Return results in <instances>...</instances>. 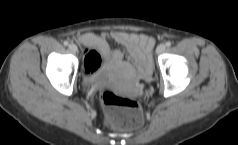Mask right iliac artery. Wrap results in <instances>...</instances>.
Returning <instances> with one entry per match:
<instances>
[{
  "label": "right iliac artery",
  "mask_w": 238,
  "mask_h": 145,
  "mask_svg": "<svg viewBox=\"0 0 238 145\" xmlns=\"http://www.w3.org/2000/svg\"><path fill=\"white\" fill-rule=\"evenodd\" d=\"M64 45L65 46H68L69 45V42L66 40V41H64Z\"/></svg>",
  "instance_id": "right-iliac-artery-1"
}]
</instances>
